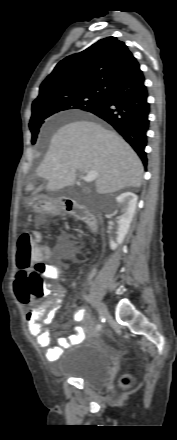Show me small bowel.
Segmentation results:
<instances>
[{"label":"small bowel","instance_id":"small-bowel-1","mask_svg":"<svg viewBox=\"0 0 177 440\" xmlns=\"http://www.w3.org/2000/svg\"><path fill=\"white\" fill-rule=\"evenodd\" d=\"M46 266V276L48 278H61V267L58 263L49 262ZM14 291L17 298L22 301V294L18 282L15 284ZM63 295L64 289L60 285H54L50 291V298L40 306L29 310L25 316L29 333L36 338L38 346L47 348L46 358L49 361L58 360L63 355L65 349L75 346L84 340L86 330L91 331L90 323L86 321V327L76 326L74 328V334L68 337H58L57 346L49 347L51 340L50 333L43 327V324H49L53 321L57 311L60 309ZM41 319L42 322H40ZM73 320L75 322L84 321L85 310L78 308L73 315Z\"/></svg>","mask_w":177,"mask_h":440}]
</instances>
